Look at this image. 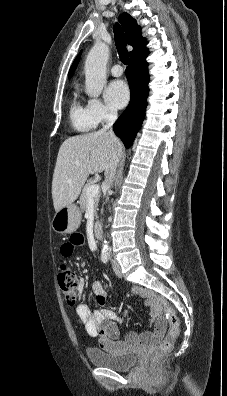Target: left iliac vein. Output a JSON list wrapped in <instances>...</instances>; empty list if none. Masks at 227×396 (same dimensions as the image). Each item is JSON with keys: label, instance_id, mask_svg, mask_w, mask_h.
I'll list each match as a JSON object with an SVG mask.
<instances>
[{"label": "left iliac vein", "instance_id": "4c4485c4", "mask_svg": "<svg viewBox=\"0 0 227 396\" xmlns=\"http://www.w3.org/2000/svg\"><path fill=\"white\" fill-rule=\"evenodd\" d=\"M112 266H113V270H114L115 274H116L119 278H121V277H122V271H121V267H120L118 261L113 260V261H112Z\"/></svg>", "mask_w": 227, "mask_h": 396}]
</instances>
